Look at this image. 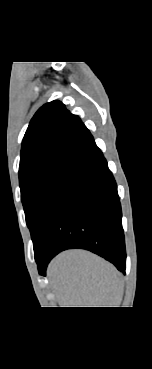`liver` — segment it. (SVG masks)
I'll use <instances>...</instances> for the list:
<instances>
[{
    "mask_svg": "<svg viewBox=\"0 0 152 369\" xmlns=\"http://www.w3.org/2000/svg\"><path fill=\"white\" fill-rule=\"evenodd\" d=\"M48 276L61 307H119L124 282L116 268L84 250L58 255Z\"/></svg>",
    "mask_w": 152,
    "mask_h": 369,
    "instance_id": "6515ba94",
    "label": "liver"
}]
</instances>
